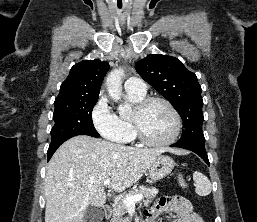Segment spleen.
<instances>
[{
	"mask_svg": "<svg viewBox=\"0 0 257 222\" xmlns=\"http://www.w3.org/2000/svg\"><path fill=\"white\" fill-rule=\"evenodd\" d=\"M193 179L196 186V193L200 196H207L211 193L212 186L210 180L202 173L195 172Z\"/></svg>",
	"mask_w": 257,
	"mask_h": 222,
	"instance_id": "obj_1",
	"label": "spleen"
}]
</instances>
